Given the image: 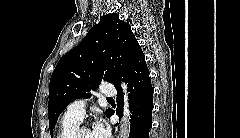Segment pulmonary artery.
Returning a JSON list of instances; mask_svg holds the SVG:
<instances>
[{"mask_svg": "<svg viewBox=\"0 0 240 138\" xmlns=\"http://www.w3.org/2000/svg\"><path fill=\"white\" fill-rule=\"evenodd\" d=\"M101 92L104 96L108 98L116 94L114 86L109 84H105ZM85 107H86L85 100L83 99L75 100L67 107L65 115L82 121L85 115Z\"/></svg>", "mask_w": 240, "mask_h": 138, "instance_id": "1", "label": "pulmonary artery"}]
</instances>
